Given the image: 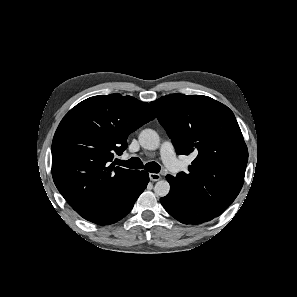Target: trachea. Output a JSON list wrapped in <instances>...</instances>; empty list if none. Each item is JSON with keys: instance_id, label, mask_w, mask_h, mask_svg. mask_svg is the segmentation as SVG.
I'll list each match as a JSON object with an SVG mask.
<instances>
[{"instance_id": "obj_1", "label": "trachea", "mask_w": 297, "mask_h": 297, "mask_svg": "<svg viewBox=\"0 0 297 297\" xmlns=\"http://www.w3.org/2000/svg\"><path fill=\"white\" fill-rule=\"evenodd\" d=\"M118 165L131 168V169H145L151 173H158L160 171V165L156 162H149L143 167L142 161L137 157H132L127 161L119 160Z\"/></svg>"}]
</instances>
